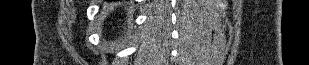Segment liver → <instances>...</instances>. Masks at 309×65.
<instances>
[{"mask_svg":"<svg viewBox=\"0 0 309 65\" xmlns=\"http://www.w3.org/2000/svg\"><path fill=\"white\" fill-rule=\"evenodd\" d=\"M111 7H113L112 4H111L110 6H109V5H104V8H105V9H109V8H111Z\"/></svg>","mask_w":309,"mask_h":65,"instance_id":"6515ba94","label":"liver"}]
</instances>
